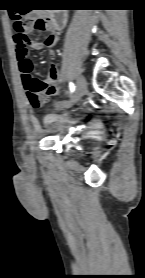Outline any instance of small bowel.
<instances>
[{"instance_id": "1", "label": "small bowel", "mask_w": 145, "mask_h": 278, "mask_svg": "<svg viewBox=\"0 0 145 278\" xmlns=\"http://www.w3.org/2000/svg\"><path fill=\"white\" fill-rule=\"evenodd\" d=\"M32 19H35L34 16ZM33 26H29L25 30V35L28 38L27 48H31L33 50H40L44 46L53 47L59 41V36L57 33L53 31L52 28L49 27V24L46 31L49 34L43 39V41L34 40L28 37V32L33 31ZM14 41L16 46H20V43L17 42L16 38L14 37ZM33 65L32 61L25 56L24 58H18V72L20 81L23 85L24 92L26 97L29 100V93H30V82L35 81L39 86L38 91L41 99V106L44 105L52 96L58 94L59 88L56 86L55 82L57 79V68L54 62H51L49 65V71L45 82H42L32 76ZM33 135H40L42 133V127L38 121L33 122L32 130Z\"/></svg>"}]
</instances>
